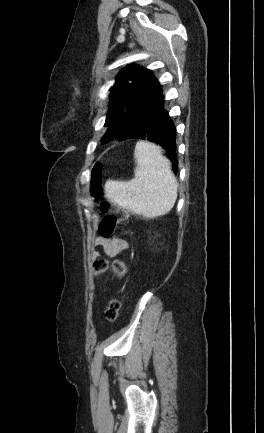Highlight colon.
<instances>
[{
  "label": "colon",
  "mask_w": 264,
  "mask_h": 433,
  "mask_svg": "<svg viewBox=\"0 0 264 433\" xmlns=\"http://www.w3.org/2000/svg\"><path fill=\"white\" fill-rule=\"evenodd\" d=\"M102 164L100 162L96 163L92 169L90 191L97 199L102 196ZM99 211L101 213L113 212V215H106L100 225V234L108 238L112 236L120 225V223L125 220L126 215L122 214L120 209L117 207H112L108 202H101L99 205ZM108 270L114 271L118 276L123 277L126 274V266L123 262L116 258H97L93 263V273L94 275H100ZM121 301L119 298L112 299L105 310V318L109 322H114L120 312Z\"/></svg>",
  "instance_id": "colon-1"
}]
</instances>
